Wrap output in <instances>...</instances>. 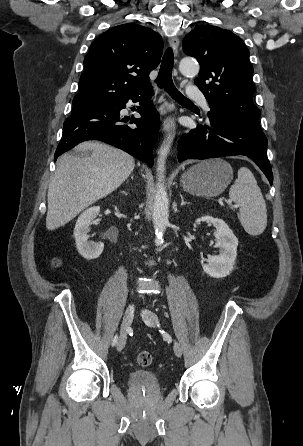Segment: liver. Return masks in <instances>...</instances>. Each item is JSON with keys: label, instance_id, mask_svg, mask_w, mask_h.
Wrapping results in <instances>:
<instances>
[{"label": "liver", "instance_id": "1", "mask_svg": "<svg viewBox=\"0 0 303 446\" xmlns=\"http://www.w3.org/2000/svg\"><path fill=\"white\" fill-rule=\"evenodd\" d=\"M75 151L81 155L64 154L57 160L48 187V230L64 226L83 209L112 193L135 167L131 155L104 143L84 142Z\"/></svg>", "mask_w": 303, "mask_h": 446}]
</instances>
